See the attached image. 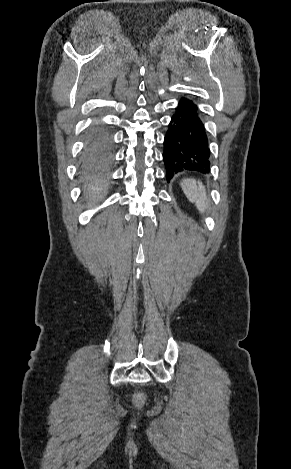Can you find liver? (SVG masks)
Masks as SVG:
<instances>
[{
  "mask_svg": "<svg viewBox=\"0 0 291 469\" xmlns=\"http://www.w3.org/2000/svg\"><path fill=\"white\" fill-rule=\"evenodd\" d=\"M88 189H89L90 191H92V193H93L95 190H100V189H95L93 186H89Z\"/></svg>",
  "mask_w": 291,
  "mask_h": 469,
  "instance_id": "6515ba94",
  "label": "liver"
}]
</instances>
